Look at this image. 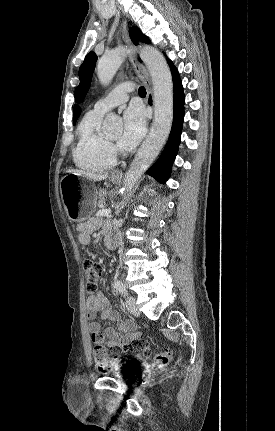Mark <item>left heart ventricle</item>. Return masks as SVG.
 <instances>
[{
  "instance_id": "1",
  "label": "left heart ventricle",
  "mask_w": 275,
  "mask_h": 431,
  "mask_svg": "<svg viewBox=\"0 0 275 431\" xmlns=\"http://www.w3.org/2000/svg\"><path fill=\"white\" fill-rule=\"evenodd\" d=\"M115 139V137H113L111 140H114Z\"/></svg>"
}]
</instances>
